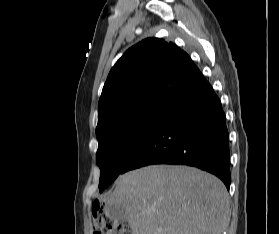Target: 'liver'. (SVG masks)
<instances>
[{"instance_id": "6515ba94", "label": "liver", "mask_w": 279, "mask_h": 234, "mask_svg": "<svg viewBox=\"0 0 279 234\" xmlns=\"http://www.w3.org/2000/svg\"><path fill=\"white\" fill-rule=\"evenodd\" d=\"M103 201L125 208L132 234H222L230 214L222 181L187 166L125 173Z\"/></svg>"}]
</instances>
